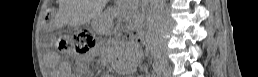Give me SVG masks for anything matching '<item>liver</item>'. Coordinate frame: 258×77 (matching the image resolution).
<instances>
[{
	"label": "liver",
	"instance_id": "obj_1",
	"mask_svg": "<svg viewBox=\"0 0 258 77\" xmlns=\"http://www.w3.org/2000/svg\"><path fill=\"white\" fill-rule=\"evenodd\" d=\"M105 4V0H60V16L69 17L62 20L64 23L81 24L98 17Z\"/></svg>",
	"mask_w": 258,
	"mask_h": 77
}]
</instances>
